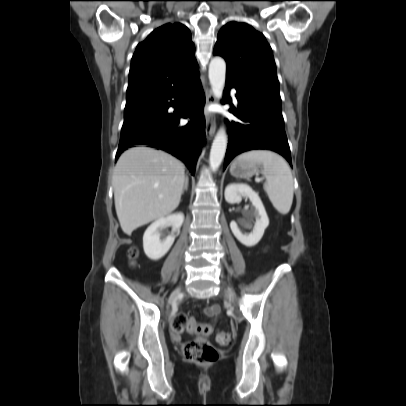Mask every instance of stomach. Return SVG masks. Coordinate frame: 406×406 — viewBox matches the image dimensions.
<instances>
[{
	"instance_id": "stomach-1",
	"label": "stomach",
	"mask_w": 406,
	"mask_h": 406,
	"mask_svg": "<svg viewBox=\"0 0 406 406\" xmlns=\"http://www.w3.org/2000/svg\"><path fill=\"white\" fill-rule=\"evenodd\" d=\"M230 173L236 178H249L259 173V163L241 160L239 157L230 166Z\"/></svg>"
}]
</instances>
